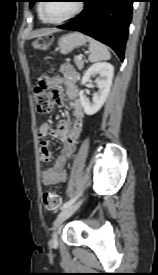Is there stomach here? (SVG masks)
Returning a JSON list of instances; mask_svg holds the SVG:
<instances>
[{
	"label": "stomach",
	"mask_w": 158,
	"mask_h": 275,
	"mask_svg": "<svg viewBox=\"0 0 158 275\" xmlns=\"http://www.w3.org/2000/svg\"><path fill=\"white\" fill-rule=\"evenodd\" d=\"M86 43V37L79 32H71L63 35L58 40V49L62 54L70 53L74 48Z\"/></svg>",
	"instance_id": "1"
}]
</instances>
